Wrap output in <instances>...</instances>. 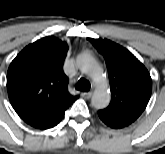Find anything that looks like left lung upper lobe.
Wrapping results in <instances>:
<instances>
[{"instance_id": "obj_1", "label": "left lung upper lobe", "mask_w": 165, "mask_h": 154, "mask_svg": "<svg viewBox=\"0 0 165 154\" xmlns=\"http://www.w3.org/2000/svg\"><path fill=\"white\" fill-rule=\"evenodd\" d=\"M87 39L105 57L110 72L112 99L109 106L99 112L129 124L134 122L151 96L149 72L126 48L108 39Z\"/></svg>"}]
</instances>
